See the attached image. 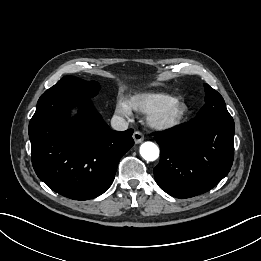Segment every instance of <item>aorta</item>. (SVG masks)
<instances>
[{
    "label": "aorta",
    "instance_id": "aorta-1",
    "mask_svg": "<svg viewBox=\"0 0 261 261\" xmlns=\"http://www.w3.org/2000/svg\"><path fill=\"white\" fill-rule=\"evenodd\" d=\"M140 155L146 161H155L159 157V148L153 142H144L140 146Z\"/></svg>",
    "mask_w": 261,
    "mask_h": 261
}]
</instances>
